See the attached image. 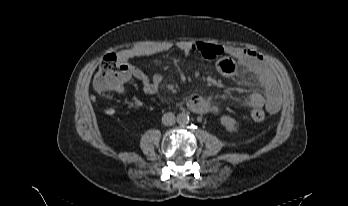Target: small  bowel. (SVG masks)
<instances>
[{
  "label": "small bowel",
  "instance_id": "obj_1",
  "mask_svg": "<svg viewBox=\"0 0 348 206\" xmlns=\"http://www.w3.org/2000/svg\"><path fill=\"white\" fill-rule=\"evenodd\" d=\"M175 47L185 55L198 54L206 60L215 61L217 70L225 76L236 75L240 71L253 74L258 86L262 88L263 94L256 91L251 92L245 103L251 107H265L271 114L279 111L281 91L276 77L265 60L255 52L240 48H225L208 42L179 41ZM171 48L172 46L169 44L148 45L122 51L119 53V58L128 65L132 77L141 83L144 93L154 95L162 84V76L157 73L149 75L131 65L129 61L137 57L167 52ZM189 105L195 110L198 107H206V102L200 96L195 95L189 100Z\"/></svg>",
  "mask_w": 348,
  "mask_h": 206
}]
</instances>
